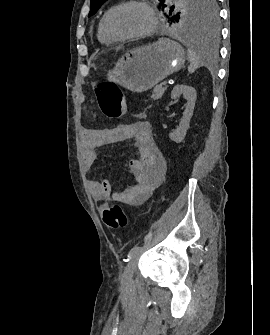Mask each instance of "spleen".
<instances>
[{
  "mask_svg": "<svg viewBox=\"0 0 270 335\" xmlns=\"http://www.w3.org/2000/svg\"><path fill=\"white\" fill-rule=\"evenodd\" d=\"M188 58L191 62L188 70L190 74H193L198 66L202 64L203 60H208L206 46H203L201 42H193V44H189Z\"/></svg>",
  "mask_w": 270,
  "mask_h": 335,
  "instance_id": "1",
  "label": "spleen"
}]
</instances>
